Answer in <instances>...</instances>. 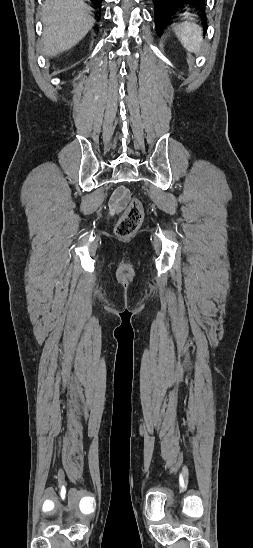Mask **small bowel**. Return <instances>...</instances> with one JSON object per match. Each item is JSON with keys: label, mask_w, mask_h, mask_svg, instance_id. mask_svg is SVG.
<instances>
[{"label": "small bowel", "mask_w": 253, "mask_h": 548, "mask_svg": "<svg viewBox=\"0 0 253 548\" xmlns=\"http://www.w3.org/2000/svg\"><path fill=\"white\" fill-rule=\"evenodd\" d=\"M129 191L124 186H119L113 192L109 201L110 213L115 215L120 213L127 204Z\"/></svg>", "instance_id": "small-bowel-1"}]
</instances>
